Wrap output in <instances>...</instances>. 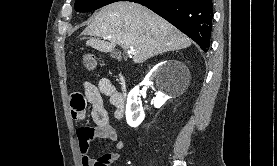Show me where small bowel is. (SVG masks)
Returning <instances> with one entry per match:
<instances>
[{
  "mask_svg": "<svg viewBox=\"0 0 277 166\" xmlns=\"http://www.w3.org/2000/svg\"><path fill=\"white\" fill-rule=\"evenodd\" d=\"M103 96L109 98V102L116 108L115 116L120 119L123 115L119 92L107 78L99 79L97 84L89 81L83 83V93L75 92L70 95L71 117L81 121L86 116V105L92 107L91 116L94 127H81L77 131L79 151L82 166H111L120 158L119 151L124 148V141L119 137L116 129L110 122L108 112L104 107ZM97 140H107L114 144L116 152H107L98 159L90 156V145Z\"/></svg>",
  "mask_w": 277,
  "mask_h": 166,
  "instance_id": "small-bowel-1",
  "label": "small bowel"
}]
</instances>
